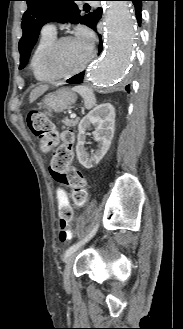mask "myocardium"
Returning <instances> with one entry per match:
<instances>
[{
  "label": "myocardium",
  "mask_w": 183,
  "mask_h": 329,
  "mask_svg": "<svg viewBox=\"0 0 183 329\" xmlns=\"http://www.w3.org/2000/svg\"><path fill=\"white\" fill-rule=\"evenodd\" d=\"M73 38L74 37L71 35L61 36L59 38H56L55 41L49 47V49L46 53V56H45V69L48 72V74L51 76L52 79H65V78L75 76V75L81 73L93 60L94 50L92 48H90V53H89L87 60L79 68H77L73 71H70V72H66V73H58L55 71L54 61H55L59 48L61 47V45L64 42L71 40Z\"/></svg>",
  "instance_id": "myocardium-1"
}]
</instances>
